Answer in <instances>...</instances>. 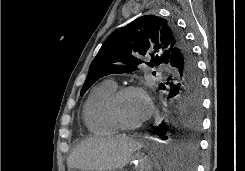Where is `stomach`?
Masks as SVG:
<instances>
[{
	"mask_svg": "<svg viewBox=\"0 0 245 171\" xmlns=\"http://www.w3.org/2000/svg\"><path fill=\"white\" fill-rule=\"evenodd\" d=\"M133 161L135 162V167L138 171H151L153 166V161L144 155L143 152L138 151L133 156ZM69 171H76L71 169Z\"/></svg>",
	"mask_w": 245,
	"mask_h": 171,
	"instance_id": "1",
	"label": "stomach"
}]
</instances>
